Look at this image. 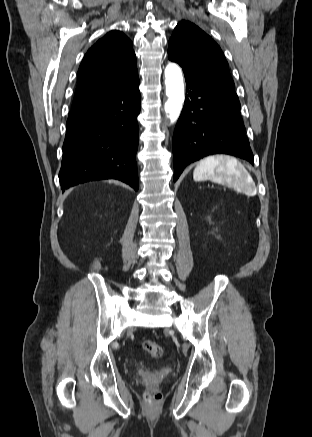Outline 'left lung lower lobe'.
<instances>
[{
    "label": "left lung lower lobe",
    "mask_w": 312,
    "mask_h": 437,
    "mask_svg": "<svg viewBox=\"0 0 312 437\" xmlns=\"http://www.w3.org/2000/svg\"><path fill=\"white\" fill-rule=\"evenodd\" d=\"M186 98L173 135L174 182L191 162L224 153L254 164L240 104L187 75Z\"/></svg>",
    "instance_id": "obj_1"
}]
</instances>
